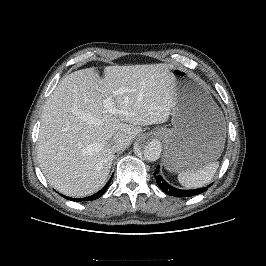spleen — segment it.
<instances>
[{"label":"spleen","mask_w":266,"mask_h":266,"mask_svg":"<svg viewBox=\"0 0 266 266\" xmlns=\"http://www.w3.org/2000/svg\"><path fill=\"white\" fill-rule=\"evenodd\" d=\"M218 167L219 162H212L201 169L182 172L178 175V181L186 188L202 187L212 180Z\"/></svg>","instance_id":"spleen-1"}]
</instances>
